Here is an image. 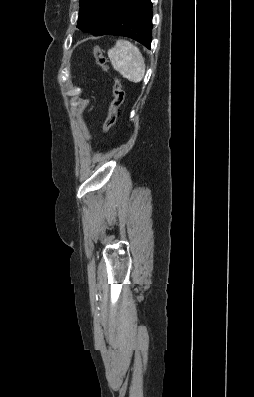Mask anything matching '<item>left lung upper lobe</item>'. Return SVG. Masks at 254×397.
<instances>
[{"mask_svg":"<svg viewBox=\"0 0 254 397\" xmlns=\"http://www.w3.org/2000/svg\"><path fill=\"white\" fill-rule=\"evenodd\" d=\"M107 6V0H80L77 27L84 32H92L101 21Z\"/></svg>","mask_w":254,"mask_h":397,"instance_id":"1","label":"left lung upper lobe"}]
</instances>
